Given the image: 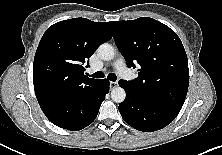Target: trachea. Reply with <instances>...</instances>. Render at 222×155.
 <instances>
[{
    "mask_svg": "<svg viewBox=\"0 0 222 155\" xmlns=\"http://www.w3.org/2000/svg\"><path fill=\"white\" fill-rule=\"evenodd\" d=\"M90 76L93 77V78H103L104 73L102 71H98V72H96V73H94ZM107 78L111 81H116V79H117L116 75L113 74V73L108 74Z\"/></svg>",
    "mask_w": 222,
    "mask_h": 155,
    "instance_id": "1",
    "label": "trachea"
}]
</instances>
